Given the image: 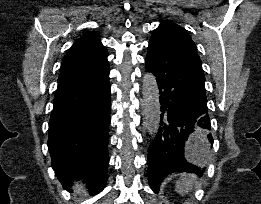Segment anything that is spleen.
<instances>
[{
    "instance_id": "obj_1",
    "label": "spleen",
    "mask_w": 261,
    "mask_h": 204,
    "mask_svg": "<svg viewBox=\"0 0 261 204\" xmlns=\"http://www.w3.org/2000/svg\"><path fill=\"white\" fill-rule=\"evenodd\" d=\"M190 146L192 155H197L198 153H205L208 149V143L200 138L199 142H195ZM193 183V178L190 174L183 175L179 181L176 182V192L179 194L188 193L191 189V184Z\"/></svg>"
}]
</instances>
